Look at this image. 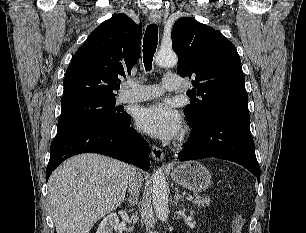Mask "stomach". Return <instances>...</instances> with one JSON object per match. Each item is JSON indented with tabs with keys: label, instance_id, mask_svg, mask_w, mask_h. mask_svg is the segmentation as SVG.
I'll list each match as a JSON object with an SVG mask.
<instances>
[{
	"label": "stomach",
	"instance_id": "obj_1",
	"mask_svg": "<svg viewBox=\"0 0 306 233\" xmlns=\"http://www.w3.org/2000/svg\"><path fill=\"white\" fill-rule=\"evenodd\" d=\"M172 179L194 192L204 191L211 183V174L198 161H186L171 170Z\"/></svg>",
	"mask_w": 306,
	"mask_h": 233
}]
</instances>
